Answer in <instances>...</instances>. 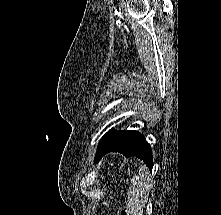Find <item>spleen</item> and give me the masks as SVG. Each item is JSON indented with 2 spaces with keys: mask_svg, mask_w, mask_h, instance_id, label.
<instances>
[{
  "mask_svg": "<svg viewBox=\"0 0 221 215\" xmlns=\"http://www.w3.org/2000/svg\"><path fill=\"white\" fill-rule=\"evenodd\" d=\"M152 186V180L149 170L141 165L139 176L133 177L128 190V210L132 215H142L143 207L147 203L149 192Z\"/></svg>",
  "mask_w": 221,
  "mask_h": 215,
  "instance_id": "3e777b00",
  "label": "spleen"
}]
</instances>
